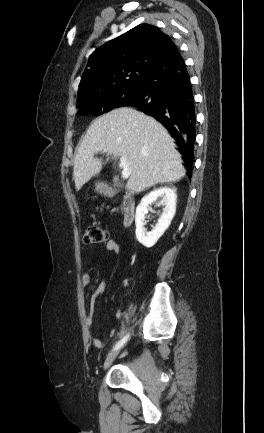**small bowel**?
<instances>
[{
	"mask_svg": "<svg viewBox=\"0 0 264 433\" xmlns=\"http://www.w3.org/2000/svg\"><path fill=\"white\" fill-rule=\"evenodd\" d=\"M106 249L109 253L111 254H119L120 253V246L119 244L114 241V240H109L106 243ZM81 282L84 286L89 285L91 282V276L89 273L85 272L82 274L81 276ZM105 293V284L104 283H100L97 288L95 289L94 295L92 297V301H91V308H90V312L86 317V323L88 325V327H90L92 325L93 322V307H94V302L98 297H101L103 294ZM109 337H113L115 335V330L112 329L109 331L108 333ZM93 345L96 348H103L106 345V342L101 340V339H95L93 341Z\"/></svg>",
	"mask_w": 264,
	"mask_h": 433,
	"instance_id": "1",
	"label": "small bowel"
}]
</instances>
